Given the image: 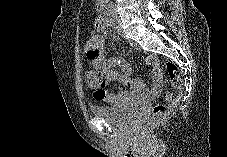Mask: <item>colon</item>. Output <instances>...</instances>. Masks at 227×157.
I'll use <instances>...</instances> for the list:
<instances>
[{"instance_id":"colon-1","label":"colon","mask_w":227,"mask_h":157,"mask_svg":"<svg viewBox=\"0 0 227 157\" xmlns=\"http://www.w3.org/2000/svg\"><path fill=\"white\" fill-rule=\"evenodd\" d=\"M166 70L174 90L165 93L164 103L154 106L150 122L148 123L149 125L162 122L172 112L178 103L176 92H180L183 88V79L178 67L172 62H167ZM86 81L89 87L100 89L103 79L98 72L89 71L86 74Z\"/></svg>"}]
</instances>
